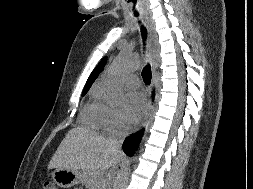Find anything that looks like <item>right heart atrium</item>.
Masks as SVG:
<instances>
[{
  "label": "right heart atrium",
  "mask_w": 253,
  "mask_h": 189,
  "mask_svg": "<svg viewBox=\"0 0 253 189\" xmlns=\"http://www.w3.org/2000/svg\"><path fill=\"white\" fill-rule=\"evenodd\" d=\"M102 126L111 131L123 128L121 112L107 104H102Z\"/></svg>",
  "instance_id": "right-heart-atrium-1"
}]
</instances>
